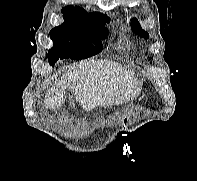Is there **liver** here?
<instances>
[{
    "label": "liver",
    "mask_w": 197,
    "mask_h": 181,
    "mask_svg": "<svg viewBox=\"0 0 197 181\" xmlns=\"http://www.w3.org/2000/svg\"><path fill=\"white\" fill-rule=\"evenodd\" d=\"M70 70L48 90L44 100L47 108L61 107L68 87L86 111L131 101L142 89L134 73L109 60L80 61Z\"/></svg>",
    "instance_id": "1"
}]
</instances>
